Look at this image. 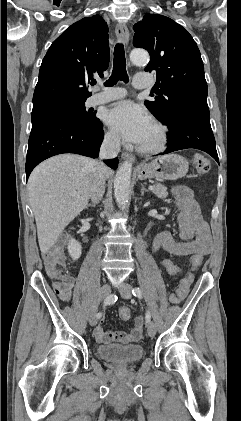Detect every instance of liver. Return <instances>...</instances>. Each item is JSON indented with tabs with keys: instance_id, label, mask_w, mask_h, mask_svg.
Listing matches in <instances>:
<instances>
[{
	"instance_id": "1",
	"label": "liver",
	"mask_w": 241,
	"mask_h": 421,
	"mask_svg": "<svg viewBox=\"0 0 241 421\" xmlns=\"http://www.w3.org/2000/svg\"><path fill=\"white\" fill-rule=\"evenodd\" d=\"M95 161L61 154L39 164L28 180L39 247L46 254L64 228L87 206ZM111 171L107 169L106 177Z\"/></svg>"
}]
</instances>
